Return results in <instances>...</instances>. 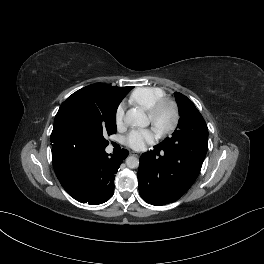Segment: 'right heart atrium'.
Masks as SVG:
<instances>
[{"label":"right heart atrium","instance_id":"1","mask_svg":"<svg viewBox=\"0 0 264 264\" xmlns=\"http://www.w3.org/2000/svg\"><path fill=\"white\" fill-rule=\"evenodd\" d=\"M124 121V107L120 105L115 112V123L118 127L123 125Z\"/></svg>","mask_w":264,"mask_h":264}]
</instances>
